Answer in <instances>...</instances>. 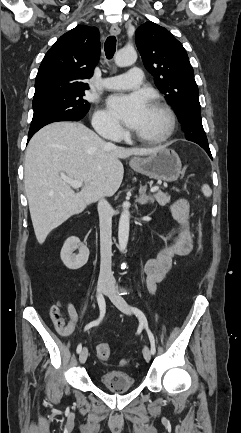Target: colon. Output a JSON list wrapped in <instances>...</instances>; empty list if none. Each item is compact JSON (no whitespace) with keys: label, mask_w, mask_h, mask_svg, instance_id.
<instances>
[{"label":"colon","mask_w":241,"mask_h":433,"mask_svg":"<svg viewBox=\"0 0 241 433\" xmlns=\"http://www.w3.org/2000/svg\"><path fill=\"white\" fill-rule=\"evenodd\" d=\"M199 234H200V239H201V226H199ZM97 354L98 357L102 360V361H107L110 358L111 355V349L109 347V345L107 343H100L97 346Z\"/></svg>","instance_id":"colon-1"}]
</instances>
